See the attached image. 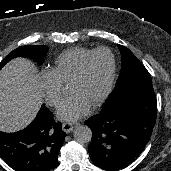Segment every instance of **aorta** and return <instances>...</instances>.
I'll use <instances>...</instances> for the list:
<instances>
[{
	"label": "aorta",
	"instance_id": "obj_1",
	"mask_svg": "<svg viewBox=\"0 0 171 171\" xmlns=\"http://www.w3.org/2000/svg\"><path fill=\"white\" fill-rule=\"evenodd\" d=\"M74 139L81 144L88 143L92 138V131L86 125H78L73 131Z\"/></svg>",
	"mask_w": 171,
	"mask_h": 171
}]
</instances>
